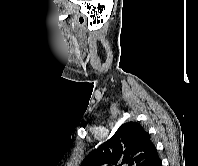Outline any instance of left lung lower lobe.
<instances>
[{"mask_svg":"<svg viewBox=\"0 0 198 166\" xmlns=\"http://www.w3.org/2000/svg\"><path fill=\"white\" fill-rule=\"evenodd\" d=\"M149 166H162V161L158 154H156Z\"/></svg>","mask_w":198,"mask_h":166,"instance_id":"left-lung-lower-lobe-1","label":"left lung lower lobe"}]
</instances>
